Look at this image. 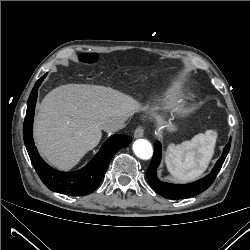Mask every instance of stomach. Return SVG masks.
<instances>
[{
    "label": "stomach",
    "instance_id": "1",
    "mask_svg": "<svg viewBox=\"0 0 250 250\" xmlns=\"http://www.w3.org/2000/svg\"><path fill=\"white\" fill-rule=\"evenodd\" d=\"M166 128H167V130H168L169 132H174V131L176 130L175 125L172 124V123L167 124V125H166Z\"/></svg>",
    "mask_w": 250,
    "mask_h": 250
}]
</instances>
